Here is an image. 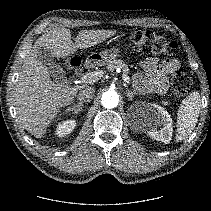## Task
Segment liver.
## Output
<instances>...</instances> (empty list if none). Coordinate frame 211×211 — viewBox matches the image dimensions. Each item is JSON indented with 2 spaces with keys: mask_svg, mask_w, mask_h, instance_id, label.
<instances>
[{
  "mask_svg": "<svg viewBox=\"0 0 211 211\" xmlns=\"http://www.w3.org/2000/svg\"><path fill=\"white\" fill-rule=\"evenodd\" d=\"M114 34L113 30H82L73 43L69 29L55 28L35 41L12 91L18 119L24 129L41 138L59 109L73 102L78 90L87 87V84L70 87L51 81L48 68L38 60V48L46 47L53 56L66 58L74 55L77 49L90 48Z\"/></svg>",
  "mask_w": 211,
  "mask_h": 211,
  "instance_id": "1",
  "label": "liver"
}]
</instances>
